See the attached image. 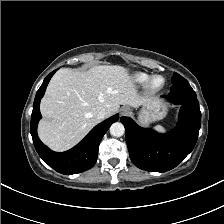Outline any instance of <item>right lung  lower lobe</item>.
<instances>
[{"label":"right lung lower lobe","instance_id":"98d812e1","mask_svg":"<svg viewBox=\"0 0 224 224\" xmlns=\"http://www.w3.org/2000/svg\"><path fill=\"white\" fill-rule=\"evenodd\" d=\"M55 72L56 70L51 72L44 79L41 87L37 91L31 115L30 132L35 149L39 156L57 172L71 175L86 171L93 167L97 160L99 143L111 124L119 119V115L116 114L98 124L79 144L72 149L62 153L51 151L38 138L37 124L41 118L39 110L40 100L44 95L49 80Z\"/></svg>","mask_w":224,"mask_h":224}]
</instances>
